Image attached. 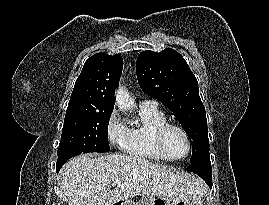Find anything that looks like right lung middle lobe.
Instances as JSON below:
<instances>
[{"label": "right lung middle lobe", "instance_id": "obj_1", "mask_svg": "<svg viewBox=\"0 0 269 205\" xmlns=\"http://www.w3.org/2000/svg\"><path fill=\"white\" fill-rule=\"evenodd\" d=\"M112 111L67 108L58 155L64 151L107 152Z\"/></svg>", "mask_w": 269, "mask_h": 205}]
</instances>
